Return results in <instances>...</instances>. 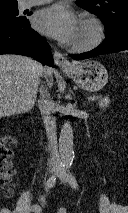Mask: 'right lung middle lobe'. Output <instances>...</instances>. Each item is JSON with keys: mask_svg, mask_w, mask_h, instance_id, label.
Segmentation results:
<instances>
[{"mask_svg": "<svg viewBox=\"0 0 128 213\" xmlns=\"http://www.w3.org/2000/svg\"><path fill=\"white\" fill-rule=\"evenodd\" d=\"M18 14V5L0 7V22L17 24L26 21V17Z\"/></svg>", "mask_w": 128, "mask_h": 213, "instance_id": "right-lung-middle-lobe-1", "label": "right lung middle lobe"}]
</instances>
